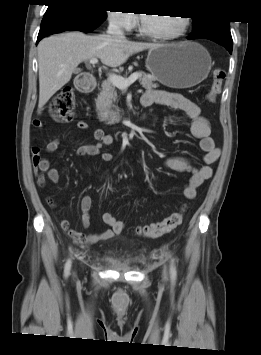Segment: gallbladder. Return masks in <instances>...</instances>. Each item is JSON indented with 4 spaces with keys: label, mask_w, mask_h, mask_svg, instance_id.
<instances>
[{
    "label": "gallbladder",
    "mask_w": 261,
    "mask_h": 355,
    "mask_svg": "<svg viewBox=\"0 0 261 355\" xmlns=\"http://www.w3.org/2000/svg\"><path fill=\"white\" fill-rule=\"evenodd\" d=\"M80 71H81L80 68L75 69V72H76V73H78V72H80Z\"/></svg>",
    "instance_id": "1"
}]
</instances>
